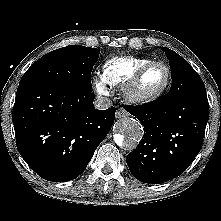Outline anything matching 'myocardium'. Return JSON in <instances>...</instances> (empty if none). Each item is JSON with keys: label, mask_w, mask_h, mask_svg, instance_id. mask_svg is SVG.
I'll return each instance as SVG.
<instances>
[{"label": "myocardium", "mask_w": 221, "mask_h": 221, "mask_svg": "<svg viewBox=\"0 0 221 221\" xmlns=\"http://www.w3.org/2000/svg\"><path fill=\"white\" fill-rule=\"evenodd\" d=\"M160 65L166 70V80L164 84L157 90L149 93H144L139 89L140 82L143 76L152 67ZM171 69L170 67L161 61H151L144 66H142L132 78L124 85L122 91L123 96L127 102L131 104H147L159 99L168 89L171 83Z\"/></svg>", "instance_id": "obj_1"}]
</instances>
